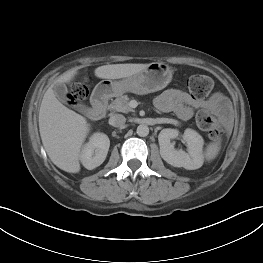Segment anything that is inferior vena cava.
I'll return each instance as SVG.
<instances>
[{
  "mask_svg": "<svg viewBox=\"0 0 263 263\" xmlns=\"http://www.w3.org/2000/svg\"><path fill=\"white\" fill-rule=\"evenodd\" d=\"M126 122V118L122 114H114L109 119V124L115 127L123 126Z\"/></svg>",
  "mask_w": 263,
  "mask_h": 263,
  "instance_id": "602c4592",
  "label": "inferior vena cava"
}]
</instances>
